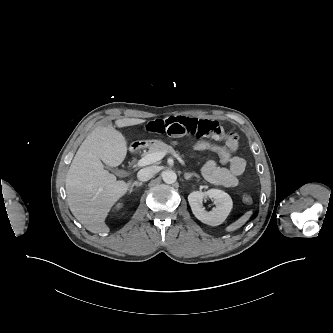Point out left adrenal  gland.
I'll return each mask as SVG.
<instances>
[{
	"instance_id": "1",
	"label": "left adrenal gland",
	"mask_w": 333,
	"mask_h": 333,
	"mask_svg": "<svg viewBox=\"0 0 333 333\" xmlns=\"http://www.w3.org/2000/svg\"><path fill=\"white\" fill-rule=\"evenodd\" d=\"M197 177V178H200V176L199 175H197L196 173H186V174H184V178L186 179V180H190L191 179V177Z\"/></svg>"
}]
</instances>
